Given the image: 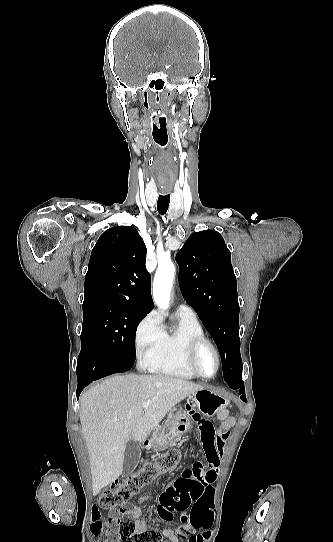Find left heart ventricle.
<instances>
[{
    "instance_id": "left-heart-ventricle-1",
    "label": "left heart ventricle",
    "mask_w": 333,
    "mask_h": 542,
    "mask_svg": "<svg viewBox=\"0 0 333 542\" xmlns=\"http://www.w3.org/2000/svg\"><path fill=\"white\" fill-rule=\"evenodd\" d=\"M196 365L199 372L205 376H210L215 372V357L209 347L201 348L196 358Z\"/></svg>"
}]
</instances>
